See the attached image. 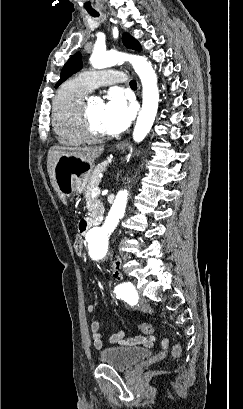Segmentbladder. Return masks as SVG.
I'll return each instance as SVG.
<instances>
[{
    "label": "bladder",
    "instance_id": "bladder-1",
    "mask_svg": "<svg viewBox=\"0 0 243 409\" xmlns=\"http://www.w3.org/2000/svg\"><path fill=\"white\" fill-rule=\"evenodd\" d=\"M151 354L150 349L143 347L111 346L100 351L99 359L106 365L124 371L134 367Z\"/></svg>",
    "mask_w": 243,
    "mask_h": 409
}]
</instances>
